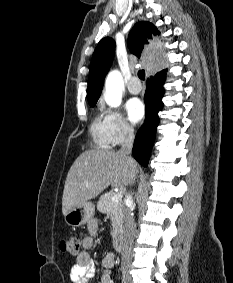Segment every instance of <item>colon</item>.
I'll use <instances>...</instances> for the list:
<instances>
[{
    "mask_svg": "<svg viewBox=\"0 0 233 283\" xmlns=\"http://www.w3.org/2000/svg\"><path fill=\"white\" fill-rule=\"evenodd\" d=\"M80 245H81L80 239L76 235H71L60 242L61 250L72 256L79 254Z\"/></svg>",
    "mask_w": 233,
    "mask_h": 283,
    "instance_id": "colon-1",
    "label": "colon"
}]
</instances>
